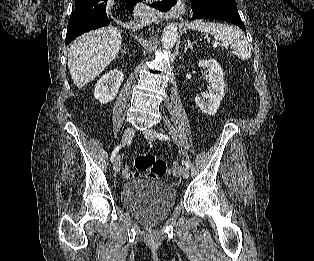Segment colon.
<instances>
[{
  "mask_svg": "<svg viewBox=\"0 0 314 261\" xmlns=\"http://www.w3.org/2000/svg\"><path fill=\"white\" fill-rule=\"evenodd\" d=\"M135 167L136 171L129 173V177H138L144 175L151 179H157L165 176L168 173L166 162L150 154L137 156L135 159ZM179 171V166L175 165L170 172L173 176H178Z\"/></svg>",
  "mask_w": 314,
  "mask_h": 261,
  "instance_id": "colon-1",
  "label": "colon"
}]
</instances>
